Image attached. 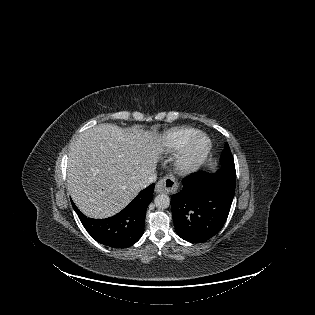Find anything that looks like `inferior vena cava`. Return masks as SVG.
I'll list each match as a JSON object with an SVG mask.
<instances>
[{"label": "inferior vena cava", "mask_w": 315, "mask_h": 315, "mask_svg": "<svg viewBox=\"0 0 315 315\" xmlns=\"http://www.w3.org/2000/svg\"><path fill=\"white\" fill-rule=\"evenodd\" d=\"M156 174H152L151 176L147 177L146 179H144L141 183L142 187L145 188L147 186H149L151 183L156 181Z\"/></svg>", "instance_id": "1"}]
</instances>
